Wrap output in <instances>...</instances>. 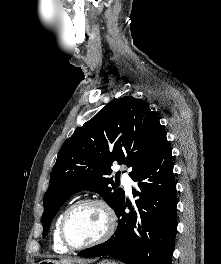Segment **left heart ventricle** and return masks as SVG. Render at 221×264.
I'll list each match as a JSON object with an SVG mask.
<instances>
[{
    "mask_svg": "<svg viewBox=\"0 0 221 264\" xmlns=\"http://www.w3.org/2000/svg\"><path fill=\"white\" fill-rule=\"evenodd\" d=\"M106 217L103 211L95 205H82L69 215L66 233L74 245L87 244L95 241L106 230Z\"/></svg>",
    "mask_w": 221,
    "mask_h": 264,
    "instance_id": "left-heart-ventricle-1",
    "label": "left heart ventricle"
}]
</instances>
